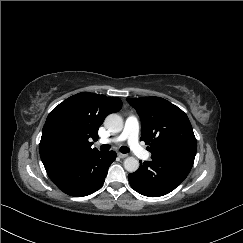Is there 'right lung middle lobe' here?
<instances>
[{
  "mask_svg": "<svg viewBox=\"0 0 243 243\" xmlns=\"http://www.w3.org/2000/svg\"><path fill=\"white\" fill-rule=\"evenodd\" d=\"M52 145L55 148H61L64 145V139H63V137L62 136H59V135L54 136L52 138Z\"/></svg>",
  "mask_w": 243,
  "mask_h": 243,
  "instance_id": "1",
  "label": "right lung middle lobe"
}]
</instances>
